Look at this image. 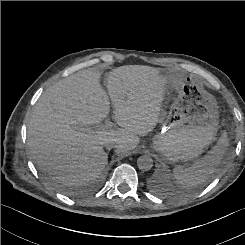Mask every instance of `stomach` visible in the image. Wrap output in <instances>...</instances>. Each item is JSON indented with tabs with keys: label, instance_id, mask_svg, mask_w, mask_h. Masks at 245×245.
Here are the masks:
<instances>
[{
	"label": "stomach",
	"instance_id": "1",
	"mask_svg": "<svg viewBox=\"0 0 245 245\" xmlns=\"http://www.w3.org/2000/svg\"><path fill=\"white\" fill-rule=\"evenodd\" d=\"M177 91L162 132L154 139L153 148L172 162H188L210 146L219 129L216 98L191 75L166 77Z\"/></svg>",
	"mask_w": 245,
	"mask_h": 245
}]
</instances>
